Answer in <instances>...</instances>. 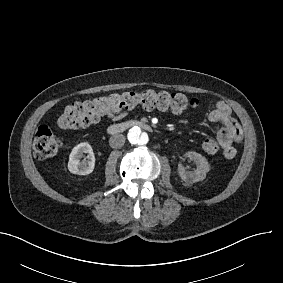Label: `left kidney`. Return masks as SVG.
<instances>
[{"label": "left kidney", "mask_w": 283, "mask_h": 283, "mask_svg": "<svg viewBox=\"0 0 283 283\" xmlns=\"http://www.w3.org/2000/svg\"><path fill=\"white\" fill-rule=\"evenodd\" d=\"M186 159H191L196 164V169L188 171L187 167L184 165ZM209 167L206 162V159L202 157L199 153L196 152H187L182 156V160L179 161L178 171L179 175L185 182H196L203 180L205 174L208 171Z\"/></svg>", "instance_id": "left-kidney-1"}]
</instances>
